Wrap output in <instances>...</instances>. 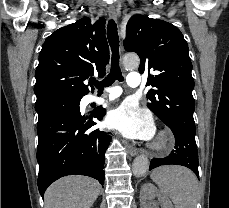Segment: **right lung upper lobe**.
I'll return each instance as SVG.
<instances>
[{
  "instance_id": "cb5924a9",
  "label": "right lung upper lobe",
  "mask_w": 229,
  "mask_h": 208,
  "mask_svg": "<svg viewBox=\"0 0 229 208\" xmlns=\"http://www.w3.org/2000/svg\"><path fill=\"white\" fill-rule=\"evenodd\" d=\"M105 22L100 18L91 25L90 18L83 17L45 40L35 71L36 102L60 96L82 98L90 92L84 81L94 72L105 75L109 62Z\"/></svg>"
}]
</instances>
